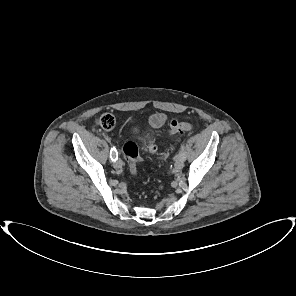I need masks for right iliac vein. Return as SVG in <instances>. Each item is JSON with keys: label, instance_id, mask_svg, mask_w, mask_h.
I'll return each instance as SVG.
<instances>
[{"label": "right iliac vein", "instance_id": "1", "mask_svg": "<svg viewBox=\"0 0 296 296\" xmlns=\"http://www.w3.org/2000/svg\"><path fill=\"white\" fill-rule=\"evenodd\" d=\"M122 165H123V163H122L121 159H118V160H116V161L114 162V167H115L116 169L121 168Z\"/></svg>", "mask_w": 296, "mask_h": 296}]
</instances>
